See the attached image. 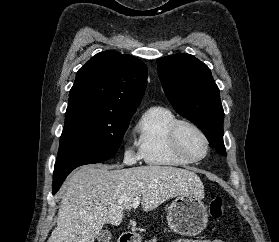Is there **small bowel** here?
<instances>
[{"label": "small bowel", "mask_w": 279, "mask_h": 242, "mask_svg": "<svg viewBox=\"0 0 279 242\" xmlns=\"http://www.w3.org/2000/svg\"><path fill=\"white\" fill-rule=\"evenodd\" d=\"M174 242H226L223 239H206V240H176Z\"/></svg>", "instance_id": "c3829d8e"}]
</instances>
